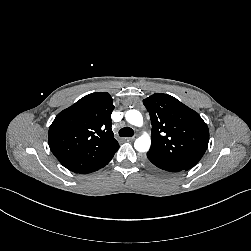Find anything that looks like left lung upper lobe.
<instances>
[{
  "instance_id": "5c2ea615",
  "label": "left lung upper lobe",
  "mask_w": 251,
  "mask_h": 251,
  "mask_svg": "<svg viewBox=\"0 0 251 251\" xmlns=\"http://www.w3.org/2000/svg\"><path fill=\"white\" fill-rule=\"evenodd\" d=\"M150 114L151 147L147 156L181 166H195L204 155L209 130L200 115L176 98L155 93L143 100Z\"/></svg>"
}]
</instances>
